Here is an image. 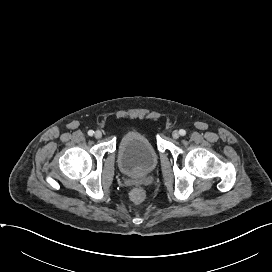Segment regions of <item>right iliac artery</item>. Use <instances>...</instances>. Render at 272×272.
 <instances>
[{
  "label": "right iliac artery",
  "instance_id": "82829eb1",
  "mask_svg": "<svg viewBox=\"0 0 272 272\" xmlns=\"http://www.w3.org/2000/svg\"><path fill=\"white\" fill-rule=\"evenodd\" d=\"M93 134H94V131H93V130H89V131H88V135H89V136H93Z\"/></svg>",
  "mask_w": 272,
  "mask_h": 272
}]
</instances>
